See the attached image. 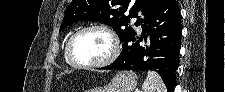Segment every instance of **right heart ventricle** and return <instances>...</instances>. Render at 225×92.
<instances>
[{"label": "right heart ventricle", "mask_w": 225, "mask_h": 92, "mask_svg": "<svg viewBox=\"0 0 225 92\" xmlns=\"http://www.w3.org/2000/svg\"><path fill=\"white\" fill-rule=\"evenodd\" d=\"M66 47H67V43H66L65 49H64V59H65V61H66L68 64H70V62H69V60H68V57H67Z\"/></svg>", "instance_id": "obj_1"}]
</instances>
